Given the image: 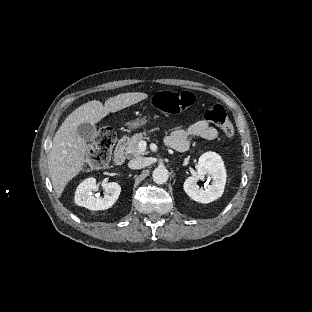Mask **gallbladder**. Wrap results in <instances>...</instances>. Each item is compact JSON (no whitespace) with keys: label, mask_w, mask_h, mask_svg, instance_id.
<instances>
[{"label":"gallbladder","mask_w":312,"mask_h":312,"mask_svg":"<svg viewBox=\"0 0 312 312\" xmlns=\"http://www.w3.org/2000/svg\"><path fill=\"white\" fill-rule=\"evenodd\" d=\"M78 135L85 141H92L96 136V127L90 123H82L77 127Z\"/></svg>","instance_id":"bac80fb5"}]
</instances>
